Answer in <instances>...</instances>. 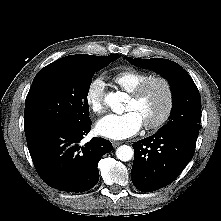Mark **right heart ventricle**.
<instances>
[{
  "mask_svg": "<svg viewBox=\"0 0 221 221\" xmlns=\"http://www.w3.org/2000/svg\"><path fill=\"white\" fill-rule=\"evenodd\" d=\"M150 76L147 72L128 67L116 73L113 76V82L123 91L130 93Z\"/></svg>",
  "mask_w": 221,
  "mask_h": 221,
  "instance_id": "right-heart-ventricle-1",
  "label": "right heart ventricle"
}]
</instances>
